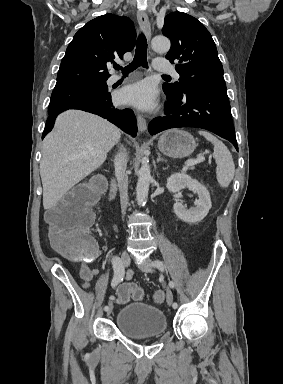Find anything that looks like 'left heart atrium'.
Segmentation results:
<instances>
[{"mask_svg": "<svg viewBox=\"0 0 283 384\" xmlns=\"http://www.w3.org/2000/svg\"><path fill=\"white\" fill-rule=\"evenodd\" d=\"M157 90L148 81H141L121 89L117 94L120 104L132 105L142 110H149L155 106Z\"/></svg>", "mask_w": 283, "mask_h": 384, "instance_id": "left-heart-atrium-1", "label": "left heart atrium"}]
</instances>
